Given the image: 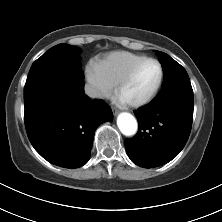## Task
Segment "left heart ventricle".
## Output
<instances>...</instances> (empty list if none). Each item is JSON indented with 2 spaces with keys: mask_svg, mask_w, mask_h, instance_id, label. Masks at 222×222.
Segmentation results:
<instances>
[{
  "mask_svg": "<svg viewBox=\"0 0 222 222\" xmlns=\"http://www.w3.org/2000/svg\"><path fill=\"white\" fill-rule=\"evenodd\" d=\"M158 77V66L153 62L145 63L136 72L132 81L122 90L120 97L126 102L142 100L152 91Z\"/></svg>",
  "mask_w": 222,
  "mask_h": 222,
  "instance_id": "left-heart-ventricle-1",
  "label": "left heart ventricle"
}]
</instances>
